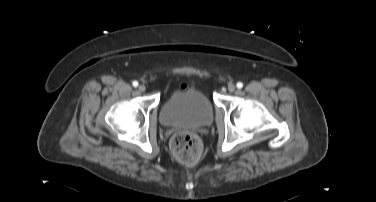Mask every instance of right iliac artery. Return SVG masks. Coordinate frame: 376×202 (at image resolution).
<instances>
[{
	"label": "right iliac artery",
	"instance_id": "right-iliac-artery-1",
	"mask_svg": "<svg viewBox=\"0 0 376 202\" xmlns=\"http://www.w3.org/2000/svg\"><path fill=\"white\" fill-rule=\"evenodd\" d=\"M132 85H133L134 87H137V86H138V82H137V81H133Z\"/></svg>",
	"mask_w": 376,
	"mask_h": 202
}]
</instances>
